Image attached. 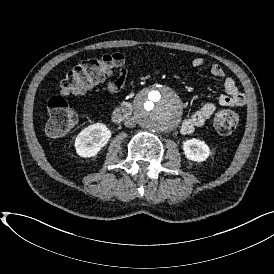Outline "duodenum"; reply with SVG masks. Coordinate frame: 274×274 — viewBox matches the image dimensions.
<instances>
[{"instance_id":"obj_1","label":"duodenum","mask_w":274,"mask_h":274,"mask_svg":"<svg viewBox=\"0 0 274 274\" xmlns=\"http://www.w3.org/2000/svg\"><path fill=\"white\" fill-rule=\"evenodd\" d=\"M132 113V101H125L120 104L114 111L113 119L116 122H120L127 117H129Z\"/></svg>"}]
</instances>
